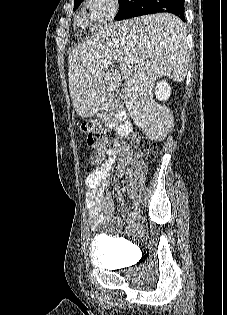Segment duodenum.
<instances>
[{"label": "duodenum", "instance_id": "1", "mask_svg": "<svg viewBox=\"0 0 227 315\" xmlns=\"http://www.w3.org/2000/svg\"><path fill=\"white\" fill-rule=\"evenodd\" d=\"M106 122L117 130L120 136H126L130 131V121L128 113L118 105H114L113 110L106 117Z\"/></svg>", "mask_w": 227, "mask_h": 315}]
</instances>
